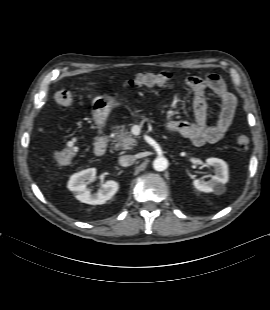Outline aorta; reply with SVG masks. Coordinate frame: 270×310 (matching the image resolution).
Returning a JSON list of instances; mask_svg holds the SVG:
<instances>
[{
	"label": "aorta",
	"instance_id": "762f6f07",
	"mask_svg": "<svg viewBox=\"0 0 270 310\" xmlns=\"http://www.w3.org/2000/svg\"><path fill=\"white\" fill-rule=\"evenodd\" d=\"M168 167V160L165 157H157L153 161V168L156 171H164Z\"/></svg>",
	"mask_w": 270,
	"mask_h": 310
}]
</instances>
